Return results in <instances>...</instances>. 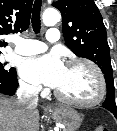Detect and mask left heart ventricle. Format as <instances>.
Segmentation results:
<instances>
[{
	"instance_id": "obj_1",
	"label": "left heart ventricle",
	"mask_w": 117,
	"mask_h": 131,
	"mask_svg": "<svg viewBox=\"0 0 117 131\" xmlns=\"http://www.w3.org/2000/svg\"><path fill=\"white\" fill-rule=\"evenodd\" d=\"M64 96L79 100H92L98 92V83L93 72L85 66H66L63 79L56 88Z\"/></svg>"
}]
</instances>
